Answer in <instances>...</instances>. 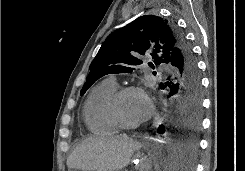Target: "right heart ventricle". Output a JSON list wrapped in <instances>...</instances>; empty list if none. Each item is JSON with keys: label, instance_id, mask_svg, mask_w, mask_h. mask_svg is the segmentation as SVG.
<instances>
[{"label": "right heart ventricle", "instance_id": "e07e8e85", "mask_svg": "<svg viewBox=\"0 0 245 171\" xmlns=\"http://www.w3.org/2000/svg\"><path fill=\"white\" fill-rule=\"evenodd\" d=\"M117 90V84L104 80L97 84L88 95L83 117L88 130L97 135H111L119 131V126L113 120L109 103L112 95Z\"/></svg>", "mask_w": 245, "mask_h": 171}]
</instances>
